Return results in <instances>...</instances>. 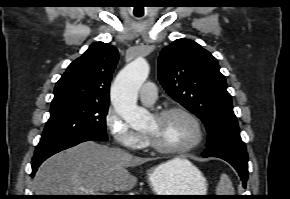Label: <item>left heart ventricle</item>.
Here are the masks:
<instances>
[{
    "mask_svg": "<svg viewBox=\"0 0 290 199\" xmlns=\"http://www.w3.org/2000/svg\"><path fill=\"white\" fill-rule=\"evenodd\" d=\"M144 132L168 148L186 147L196 139L194 124L181 114H172L161 120L153 116Z\"/></svg>",
    "mask_w": 290,
    "mask_h": 199,
    "instance_id": "left-heart-ventricle-1",
    "label": "left heart ventricle"
}]
</instances>
